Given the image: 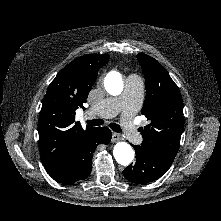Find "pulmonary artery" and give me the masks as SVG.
Masks as SVG:
<instances>
[{
  "label": "pulmonary artery",
  "mask_w": 221,
  "mask_h": 221,
  "mask_svg": "<svg viewBox=\"0 0 221 221\" xmlns=\"http://www.w3.org/2000/svg\"><path fill=\"white\" fill-rule=\"evenodd\" d=\"M143 92L144 85L141 78L134 74L129 75L126 78L124 90L120 96L103 100L95 107H92L86 117H113L122 111L121 125L124 132L132 143H138L139 133L135 127L133 115L142 101Z\"/></svg>",
  "instance_id": "obj_1"
}]
</instances>
